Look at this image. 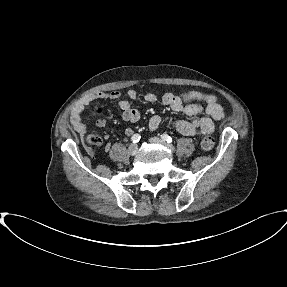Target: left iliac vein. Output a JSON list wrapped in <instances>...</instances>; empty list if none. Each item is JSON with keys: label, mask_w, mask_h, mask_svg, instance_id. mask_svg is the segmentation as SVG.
Segmentation results:
<instances>
[{"label": "left iliac vein", "mask_w": 287, "mask_h": 287, "mask_svg": "<svg viewBox=\"0 0 287 287\" xmlns=\"http://www.w3.org/2000/svg\"><path fill=\"white\" fill-rule=\"evenodd\" d=\"M149 142L152 144H159V145H163L166 148H168L169 150L173 151L174 147L171 144L166 143L165 141H163L162 139L158 138V137H152L149 139Z\"/></svg>", "instance_id": "left-iliac-vein-1"}]
</instances>
